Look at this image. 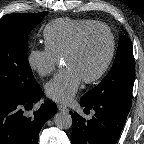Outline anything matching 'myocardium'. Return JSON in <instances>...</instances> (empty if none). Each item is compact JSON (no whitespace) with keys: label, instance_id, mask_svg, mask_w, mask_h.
I'll list each match as a JSON object with an SVG mask.
<instances>
[{"label":"myocardium","instance_id":"f54148a6","mask_svg":"<svg viewBox=\"0 0 144 144\" xmlns=\"http://www.w3.org/2000/svg\"><path fill=\"white\" fill-rule=\"evenodd\" d=\"M97 29H103L107 32L109 39H110V49H109V53L108 56L106 58L105 63L103 64V66L101 67V69L92 77L86 78L84 79V81L88 84L91 83H95L97 81H99L108 71V69L110 68L112 61L114 59L115 56V52H116V39H115V35L112 31V29L105 23H95L93 25L87 26L85 28H83L74 38V40L72 41V43L70 44V46L68 47V49L66 50L65 54L63 55V58L66 59L68 56H70L71 54H73L81 45L83 39L85 38V36Z\"/></svg>","mask_w":144,"mask_h":144}]
</instances>
